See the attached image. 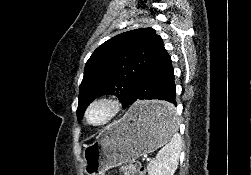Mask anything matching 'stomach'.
<instances>
[{"label":"stomach","instance_id":"stomach-1","mask_svg":"<svg viewBox=\"0 0 251 175\" xmlns=\"http://www.w3.org/2000/svg\"><path fill=\"white\" fill-rule=\"evenodd\" d=\"M170 100H138L127 113L103 127L93 143H84L86 175H99L115 165L132 161L165 145L171 135L178 134L177 118Z\"/></svg>","mask_w":251,"mask_h":175}]
</instances>
